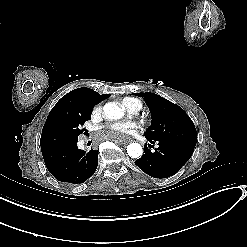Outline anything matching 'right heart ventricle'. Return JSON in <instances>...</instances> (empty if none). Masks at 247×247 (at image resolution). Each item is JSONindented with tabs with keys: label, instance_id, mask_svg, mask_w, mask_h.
<instances>
[{
	"label": "right heart ventricle",
	"instance_id": "right-heart-ventricle-1",
	"mask_svg": "<svg viewBox=\"0 0 247 247\" xmlns=\"http://www.w3.org/2000/svg\"><path fill=\"white\" fill-rule=\"evenodd\" d=\"M120 103L121 106L127 110V113H136L142 106L141 101L129 97L122 98Z\"/></svg>",
	"mask_w": 247,
	"mask_h": 247
}]
</instances>
